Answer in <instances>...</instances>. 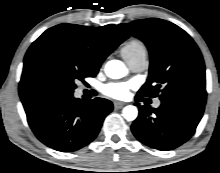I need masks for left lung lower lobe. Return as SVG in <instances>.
Returning a JSON list of instances; mask_svg holds the SVG:
<instances>
[{"label": "left lung lower lobe", "instance_id": "obj_1", "mask_svg": "<svg viewBox=\"0 0 220 173\" xmlns=\"http://www.w3.org/2000/svg\"><path fill=\"white\" fill-rule=\"evenodd\" d=\"M141 99L136 95L137 101ZM161 102L157 109L140 106L131 130L140 142L166 151L182 145L194 134L205 105L173 99Z\"/></svg>", "mask_w": 220, "mask_h": 173}]
</instances>
